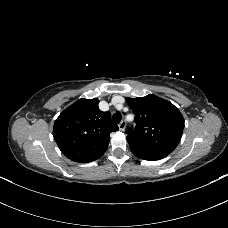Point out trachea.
Returning <instances> with one entry per match:
<instances>
[{
    "label": "trachea",
    "mask_w": 228,
    "mask_h": 228,
    "mask_svg": "<svg viewBox=\"0 0 228 228\" xmlns=\"http://www.w3.org/2000/svg\"><path fill=\"white\" fill-rule=\"evenodd\" d=\"M112 119L115 124H118L122 119V115L120 113H114Z\"/></svg>",
    "instance_id": "obj_1"
}]
</instances>
